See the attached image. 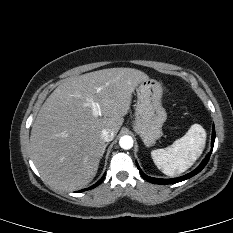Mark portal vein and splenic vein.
I'll list each match as a JSON object with an SVG mask.
<instances>
[{
  "label": "portal vein and splenic vein",
  "instance_id": "portal-vein-and-splenic-vein-1",
  "mask_svg": "<svg viewBox=\"0 0 233 233\" xmlns=\"http://www.w3.org/2000/svg\"><path fill=\"white\" fill-rule=\"evenodd\" d=\"M87 105L91 107L94 117L101 115L100 106L92 98H87Z\"/></svg>",
  "mask_w": 233,
  "mask_h": 233
}]
</instances>
